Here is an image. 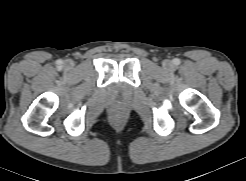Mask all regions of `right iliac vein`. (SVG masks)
Wrapping results in <instances>:
<instances>
[{
	"mask_svg": "<svg viewBox=\"0 0 246 181\" xmlns=\"http://www.w3.org/2000/svg\"><path fill=\"white\" fill-rule=\"evenodd\" d=\"M65 67H66L67 69H72V68L74 67V62H73L72 60H67V61L65 62Z\"/></svg>",
	"mask_w": 246,
	"mask_h": 181,
	"instance_id": "obj_1",
	"label": "right iliac vein"
}]
</instances>
